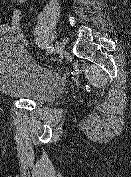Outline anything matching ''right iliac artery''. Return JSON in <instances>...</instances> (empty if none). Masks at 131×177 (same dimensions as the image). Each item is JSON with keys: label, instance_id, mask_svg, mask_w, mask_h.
<instances>
[{"label": "right iliac artery", "instance_id": "right-iliac-artery-1", "mask_svg": "<svg viewBox=\"0 0 131 177\" xmlns=\"http://www.w3.org/2000/svg\"><path fill=\"white\" fill-rule=\"evenodd\" d=\"M47 52L48 53H53L54 52V47L53 46L47 47Z\"/></svg>", "mask_w": 131, "mask_h": 177}]
</instances>
